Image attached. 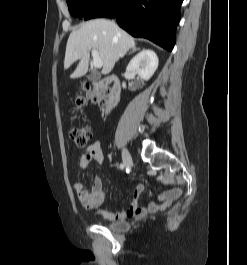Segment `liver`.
<instances>
[{"mask_svg": "<svg viewBox=\"0 0 247 265\" xmlns=\"http://www.w3.org/2000/svg\"><path fill=\"white\" fill-rule=\"evenodd\" d=\"M135 40L113 21L95 19L73 31L67 41L64 69H68L76 60H80L70 78L84 76L88 71L91 49L98 51L103 61L102 74H109L119 58L129 49L135 48Z\"/></svg>", "mask_w": 247, "mask_h": 265, "instance_id": "liver-1", "label": "liver"}]
</instances>
